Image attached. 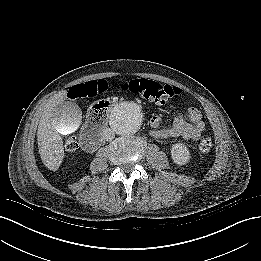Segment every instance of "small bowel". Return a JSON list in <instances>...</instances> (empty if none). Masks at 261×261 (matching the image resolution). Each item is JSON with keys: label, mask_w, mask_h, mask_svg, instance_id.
Listing matches in <instances>:
<instances>
[{"label": "small bowel", "mask_w": 261, "mask_h": 261, "mask_svg": "<svg viewBox=\"0 0 261 261\" xmlns=\"http://www.w3.org/2000/svg\"><path fill=\"white\" fill-rule=\"evenodd\" d=\"M70 98L76 97L70 95ZM188 118V120H187ZM162 120L159 116H153L150 120L152 127L151 135L159 139H174L182 137L186 140L200 139L206 128L201 112L195 107H189L186 115L179 113L173 124L169 127H161Z\"/></svg>", "instance_id": "small-bowel-1"}]
</instances>
